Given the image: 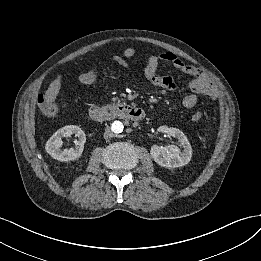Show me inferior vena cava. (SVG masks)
Returning a JSON list of instances; mask_svg holds the SVG:
<instances>
[{"label":"inferior vena cava","instance_id":"1","mask_svg":"<svg viewBox=\"0 0 261 261\" xmlns=\"http://www.w3.org/2000/svg\"><path fill=\"white\" fill-rule=\"evenodd\" d=\"M113 136H114V133L112 132V130L109 127H107L104 132V138L109 139V138H112Z\"/></svg>","mask_w":261,"mask_h":261}]
</instances>
